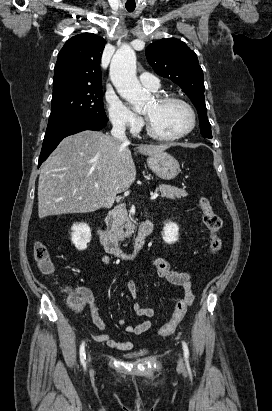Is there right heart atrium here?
Returning <instances> with one entry per match:
<instances>
[{
	"instance_id": "1",
	"label": "right heart atrium",
	"mask_w": 272,
	"mask_h": 411,
	"mask_svg": "<svg viewBox=\"0 0 272 411\" xmlns=\"http://www.w3.org/2000/svg\"><path fill=\"white\" fill-rule=\"evenodd\" d=\"M108 117L110 122L119 129L136 131L141 120L114 95L107 94L105 97Z\"/></svg>"
}]
</instances>
